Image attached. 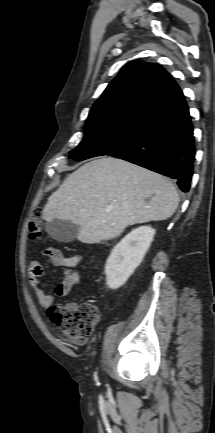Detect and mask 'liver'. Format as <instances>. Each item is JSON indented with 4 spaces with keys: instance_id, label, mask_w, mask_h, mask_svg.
<instances>
[{
    "instance_id": "liver-1",
    "label": "liver",
    "mask_w": 215,
    "mask_h": 433,
    "mask_svg": "<svg viewBox=\"0 0 215 433\" xmlns=\"http://www.w3.org/2000/svg\"><path fill=\"white\" fill-rule=\"evenodd\" d=\"M178 204V192L168 178L121 159L102 157L65 179L48 198L43 219L71 221L79 226V241L95 244L116 238L130 225L166 220Z\"/></svg>"
}]
</instances>
